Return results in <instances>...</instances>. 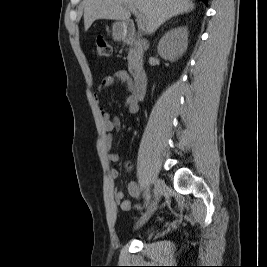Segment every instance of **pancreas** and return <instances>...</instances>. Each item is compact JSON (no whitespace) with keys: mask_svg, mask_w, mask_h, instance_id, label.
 Listing matches in <instances>:
<instances>
[{"mask_svg":"<svg viewBox=\"0 0 267 267\" xmlns=\"http://www.w3.org/2000/svg\"><path fill=\"white\" fill-rule=\"evenodd\" d=\"M143 57V49L139 43H130L129 53H128V70L130 73H133L141 63Z\"/></svg>","mask_w":267,"mask_h":267,"instance_id":"obj_1","label":"pancreas"}]
</instances>
